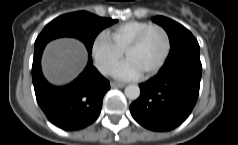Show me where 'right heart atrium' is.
<instances>
[{
  "label": "right heart atrium",
  "mask_w": 238,
  "mask_h": 145,
  "mask_svg": "<svg viewBox=\"0 0 238 145\" xmlns=\"http://www.w3.org/2000/svg\"><path fill=\"white\" fill-rule=\"evenodd\" d=\"M91 55L98 71L106 76L115 70L123 58V53L102 35L94 38Z\"/></svg>",
  "instance_id": "obj_1"
}]
</instances>
